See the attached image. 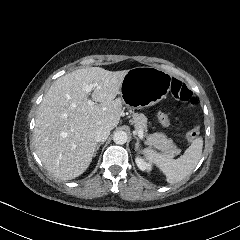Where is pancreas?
<instances>
[{
	"instance_id": "1",
	"label": "pancreas",
	"mask_w": 240,
	"mask_h": 240,
	"mask_svg": "<svg viewBox=\"0 0 240 240\" xmlns=\"http://www.w3.org/2000/svg\"><path fill=\"white\" fill-rule=\"evenodd\" d=\"M135 126V130H146V117L143 113H133L132 122ZM146 143L149 147L157 149L162 153H165L169 158H174L175 155H179L181 150L174 145L173 140L167 138L164 134L155 133L147 137Z\"/></svg>"
}]
</instances>
